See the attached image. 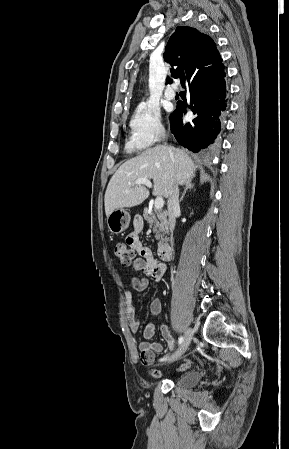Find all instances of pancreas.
Segmentation results:
<instances>
[{
	"label": "pancreas",
	"mask_w": 289,
	"mask_h": 449,
	"mask_svg": "<svg viewBox=\"0 0 289 449\" xmlns=\"http://www.w3.org/2000/svg\"><path fill=\"white\" fill-rule=\"evenodd\" d=\"M143 217L150 226H153V232L155 233V238L159 241V245L166 241L167 237L163 238L164 235L168 234L166 212L156 210L155 213H153L152 211L145 209Z\"/></svg>",
	"instance_id": "pancreas-1"
}]
</instances>
